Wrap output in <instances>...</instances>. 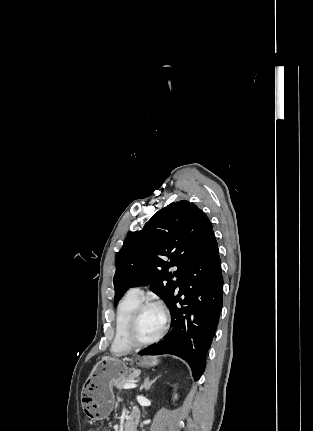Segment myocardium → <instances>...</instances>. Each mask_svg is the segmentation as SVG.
<instances>
[{
	"instance_id": "f54148a6",
	"label": "myocardium",
	"mask_w": 313,
	"mask_h": 431,
	"mask_svg": "<svg viewBox=\"0 0 313 431\" xmlns=\"http://www.w3.org/2000/svg\"><path fill=\"white\" fill-rule=\"evenodd\" d=\"M149 307H156V308L161 310V312L163 314V324H162L160 331L153 338L143 341V340H139L137 338L136 331H137L139 319H140L142 312ZM167 320H168L167 313L165 312V310L163 308H161L156 303H153L150 301H145V302L139 303L135 307V309L133 310L131 317L129 319V322H128V326H127V330H126L127 342L133 348H142V347H146V346H149V345L156 343L158 340L161 339V337L163 336V334L165 332Z\"/></svg>"
}]
</instances>
